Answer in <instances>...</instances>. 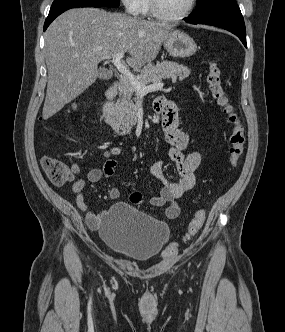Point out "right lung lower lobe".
<instances>
[{
  "instance_id": "right-lung-lower-lobe-1",
  "label": "right lung lower lobe",
  "mask_w": 285,
  "mask_h": 332,
  "mask_svg": "<svg viewBox=\"0 0 285 332\" xmlns=\"http://www.w3.org/2000/svg\"><path fill=\"white\" fill-rule=\"evenodd\" d=\"M70 8H63V9H57V10H50L49 15L45 21L44 24V31L47 29V27L50 25V23L57 17L59 16L61 13L65 12L66 10H68Z\"/></svg>"
}]
</instances>
